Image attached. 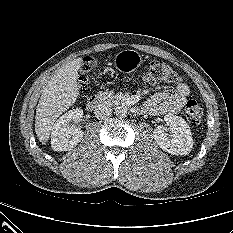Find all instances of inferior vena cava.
Masks as SVG:
<instances>
[{"label": "inferior vena cava", "instance_id": "obj_1", "mask_svg": "<svg viewBox=\"0 0 233 233\" xmlns=\"http://www.w3.org/2000/svg\"><path fill=\"white\" fill-rule=\"evenodd\" d=\"M112 114L111 107L106 103H101L95 110V115L98 119H106Z\"/></svg>", "mask_w": 233, "mask_h": 233}]
</instances>
